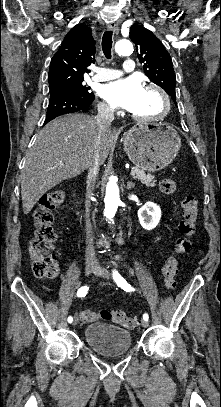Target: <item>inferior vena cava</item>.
<instances>
[{
  "label": "inferior vena cava",
  "instance_id": "602c4592",
  "mask_svg": "<svg viewBox=\"0 0 221 407\" xmlns=\"http://www.w3.org/2000/svg\"><path fill=\"white\" fill-rule=\"evenodd\" d=\"M114 120V110L107 104L98 105V114L96 116V125L98 127V136L95 141V148L91 155L88 164V183L90 184V189L87 192L88 198L92 195V187L97 178L99 168L101 165L99 148L102 140V136L105 131H107ZM90 202L87 201L86 204V262H95L96 254L93 246V232L90 221Z\"/></svg>",
  "mask_w": 221,
  "mask_h": 407
}]
</instances>
